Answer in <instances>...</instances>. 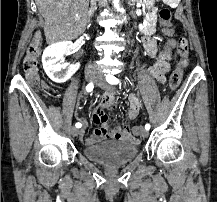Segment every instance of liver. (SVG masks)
I'll return each instance as SVG.
<instances>
[{"label": "liver", "mask_w": 217, "mask_h": 202, "mask_svg": "<svg viewBox=\"0 0 217 202\" xmlns=\"http://www.w3.org/2000/svg\"><path fill=\"white\" fill-rule=\"evenodd\" d=\"M45 20L47 44L75 40L87 26L89 0H35ZM76 14L80 20H75Z\"/></svg>", "instance_id": "6515ba94"}]
</instances>
